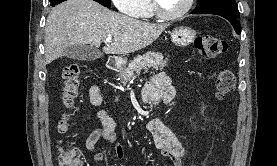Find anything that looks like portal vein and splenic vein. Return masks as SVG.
Wrapping results in <instances>:
<instances>
[{
  "mask_svg": "<svg viewBox=\"0 0 277 166\" xmlns=\"http://www.w3.org/2000/svg\"><path fill=\"white\" fill-rule=\"evenodd\" d=\"M106 42H107V43H111V42H112V38H111V37H107V38H106Z\"/></svg>",
  "mask_w": 277,
  "mask_h": 166,
  "instance_id": "obj_1",
  "label": "portal vein and splenic vein"
}]
</instances>
